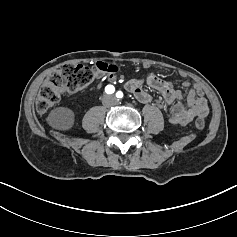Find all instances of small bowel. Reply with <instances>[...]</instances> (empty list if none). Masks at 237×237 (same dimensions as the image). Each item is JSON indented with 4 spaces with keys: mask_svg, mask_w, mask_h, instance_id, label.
Wrapping results in <instances>:
<instances>
[{
    "mask_svg": "<svg viewBox=\"0 0 237 237\" xmlns=\"http://www.w3.org/2000/svg\"><path fill=\"white\" fill-rule=\"evenodd\" d=\"M144 84L162 95L163 100L157 101L156 105L160 109L169 111L168 121L173 125H187L195 117L205 118L209 113L204 92L196 83L189 81L183 83V87L187 89L186 105L181 102L184 97L180 90L174 89L171 82L165 81L150 72L142 77L128 80L125 83V88L140 102L148 103L153 100V96L143 87Z\"/></svg>",
    "mask_w": 237,
    "mask_h": 237,
    "instance_id": "1",
    "label": "small bowel"
}]
</instances>
